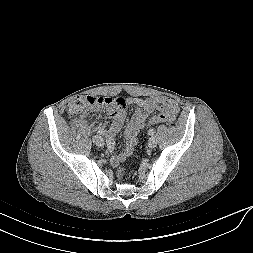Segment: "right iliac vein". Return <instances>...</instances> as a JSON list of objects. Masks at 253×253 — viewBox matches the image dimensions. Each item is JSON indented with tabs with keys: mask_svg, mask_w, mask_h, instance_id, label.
<instances>
[{
	"mask_svg": "<svg viewBox=\"0 0 253 253\" xmlns=\"http://www.w3.org/2000/svg\"><path fill=\"white\" fill-rule=\"evenodd\" d=\"M93 142L97 145V146H103L104 145V141L103 138L99 135H96L93 137Z\"/></svg>",
	"mask_w": 253,
	"mask_h": 253,
	"instance_id": "obj_1",
	"label": "right iliac vein"
}]
</instances>
